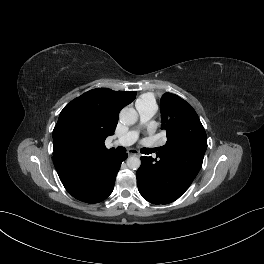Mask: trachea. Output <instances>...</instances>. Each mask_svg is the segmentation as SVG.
Listing matches in <instances>:
<instances>
[{
    "mask_svg": "<svg viewBox=\"0 0 264 264\" xmlns=\"http://www.w3.org/2000/svg\"><path fill=\"white\" fill-rule=\"evenodd\" d=\"M124 151H126L124 148L119 147V152H124ZM153 151H154V149H147V150H146L147 154H149V153H151V152H153Z\"/></svg>",
    "mask_w": 264,
    "mask_h": 264,
    "instance_id": "obj_1",
    "label": "trachea"
}]
</instances>
